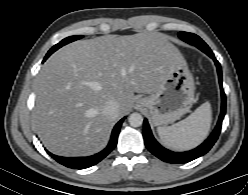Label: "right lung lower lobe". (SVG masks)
I'll use <instances>...</instances> for the list:
<instances>
[{
  "label": "right lung lower lobe",
  "instance_id": "obj_1",
  "mask_svg": "<svg viewBox=\"0 0 248 195\" xmlns=\"http://www.w3.org/2000/svg\"><path fill=\"white\" fill-rule=\"evenodd\" d=\"M124 119H125V117L122 118L115 125V127L112 131L111 139H110L107 147L95 155L88 156V157H61V156H56L50 152H48V153L57 162H59L60 164L66 166V167L73 168V169L89 168V167L97 164L98 162H100L103 158H105L115 148V146L117 144V140H118V134L120 132V127H121Z\"/></svg>",
  "mask_w": 248,
  "mask_h": 195
}]
</instances>
